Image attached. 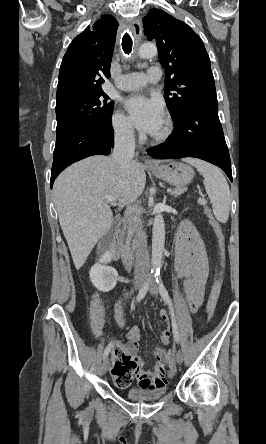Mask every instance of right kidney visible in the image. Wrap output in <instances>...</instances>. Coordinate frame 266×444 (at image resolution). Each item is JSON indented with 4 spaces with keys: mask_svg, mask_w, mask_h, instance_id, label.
Wrapping results in <instances>:
<instances>
[{
    "mask_svg": "<svg viewBox=\"0 0 266 444\" xmlns=\"http://www.w3.org/2000/svg\"><path fill=\"white\" fill-rule=\"evenodd\" d=\"M112 260V252L106 250L100 257L99 262L90 270L92 284L101 292H109L117 282L118 273L115 268L107 266Z\"/></svg>",
    "mask_w": 266,
    "mask_h": 444,
    "instance_id": "obj_1",
    "label": "right kidney"
}]
</instances>
